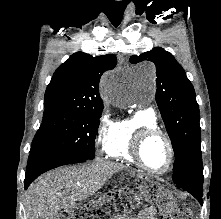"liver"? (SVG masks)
<instances>
[{
	"label": "liver",
	"mask_w": 221,
	"mask_h": 219,
	"mask_svg": "<svg viewBox=\"0 0 221 219\" xmlns=\"http://www.w3.org/2000/svg\"><path fill=\"white\" fill-rule=\"evenodd\" d=\"M124 165L99 161L53 170L40 176L27 190V219H56L61 209L72 208L100 190Z\"/></svg>",
	"instance_id": "liver-1"
}]
</instances>
